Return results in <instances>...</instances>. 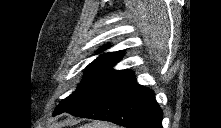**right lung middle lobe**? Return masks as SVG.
I'll list each match as a JSON object with an SVG mask.
<instances>
[{
    "mask_svg": "<svg viewBox=\"0 0 221 128\" xmlns=\"http://www.w3.org/2000/svg\"><path fill=\"white\" fill-rule=\"evenodd\" d=\"M126 79L128 77L86 70L77 90L62 100L53 115L68 112L76 107L93 102L115 89Z\"/></svg>",
    "mask_w": 221,
    "mask_h": 128,
    "instance_id": "1",
    "label": "right lung middle lobe"
}]
</instances>
